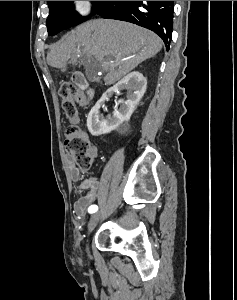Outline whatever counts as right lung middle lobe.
<instances>
[{"instance_id": "1", "label": "right lung middle lobe", "mask_w": 237, "mask_h": 300, "mask_svg": "<svg viewBox=\"0 0 237 300\" xmlns=\"http://www.w3.org/2000/svg\"><path fill=\"white\" fill-rule=\"evenodd\" d=\"M95 7L92 16L105 1H94ZM50 14L46 20L48 35H56L62 30L82 23L88 17L80 16L72 7L73 1H47Z\"/></svg>"}]
</instances>
